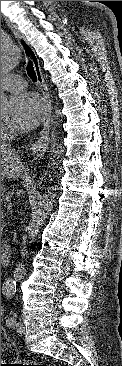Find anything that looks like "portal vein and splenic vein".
<instances>
[{"instance_id":"1","label":"portal vein and splenic vein","mask_w":122,"mask_h":366,"mask_svg":"<svg viewBox=\"0 0 122 366\" xmlns=\"http://www.w3.org/2000/svg\"><path fill=\"white\" fill-rule=\"evenodd\" d=\"M5 200H6V201H9V197H6V198H5Z\"/></svg>"}]
</instances>
